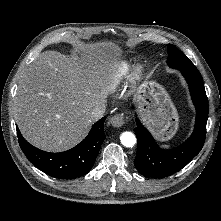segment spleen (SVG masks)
<instances>
[{
  "instance_id": "1",
  "label": "spleen",
  "mask_w": 221,
  "mask_h": 221,
  "mask_svg": "<svg viewBox=\"0 0 221 221\" xmlns=\"http://www.w3.org/2000/svg\"><path fill=\"white\" fill-rule=\"evenodd\" d=\"M163 147H164V148H169L170 146H169V145H164Z\"/></svg>"
}]
</instances>
